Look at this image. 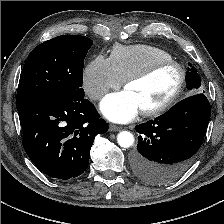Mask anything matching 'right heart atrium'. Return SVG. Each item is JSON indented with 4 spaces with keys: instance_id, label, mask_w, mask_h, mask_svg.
I'll list each match as a JSON object with an SVG mask.
<instances>
[{
    "instance_id": "right-heart-atrium-1",
    "label": "right heart atrium",
    "mask_w": 224,
    "mask_h": 224,
    "mask_svg": "<svg viewBox=\"0 0 224 224\" xmlns=\"http://www.w3.org/2000/svg\"><path fill=\"white\" fill-rule=\"evenodd\" d=\"M122 82L110 58L103 55L96 56L84 69L83 88L91 100H100L108 91L118 89Z\"/></svg>"
}]
</instances>
